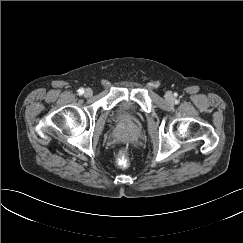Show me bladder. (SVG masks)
I'll use <instances>...</instances> for the list:
<instances>
[{"label": "bladder", "instance_id": "1", "mask_svg": "<svg viewBox=\"0 0 243 243\" xmlns=\"http://www.w3.org/2000/svg\"><path fill=\"white\" fill-rule=\"evenodd\" d=\"M119 118L123 121H128L130 118L124 114V113H119Z\"/></svg>", "mask_w": 243, "mask_h": 243}]
</instances>
